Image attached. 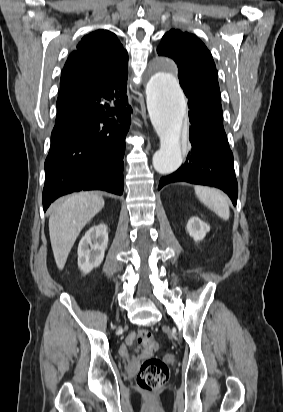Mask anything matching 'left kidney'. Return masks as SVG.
<instances>
[{
    "mask_svg": "<svg viewBox=\"0 0 283 412\" xmlns=\"http://www.w3.org/2000/svg\"><path fill=\"white\" fill-rule=\"evenodd\" d=\"M210 227L197 217H191L187 223V231L195 241H201Z\"/></svg>",
    "mask_w": 283,
    "mask_h": 412,
    "instance_id": "left-kidney-1",
    "label": "left kidney"
}]
</instances>
